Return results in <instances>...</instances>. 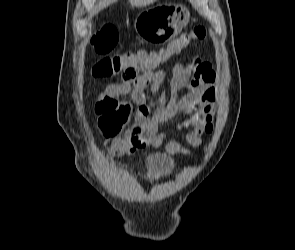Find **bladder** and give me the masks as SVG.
<instances>
[{
    "label": "bladder",
    "instance_id": "1",
    "mask_svg": "<svg viewBox=\"0 0 295 250\" xmlns=\"http://www.w3.org/2000/svg\"><path fill=\"white\" fill-rule=\"evenodd\" d=\"M146 166L151 180L164 178L174 172L176 163L162 153H151L146 157Z\"/></svg>",
    "mask_w": 295,
    "mask_h": 250
}]
</instances>
